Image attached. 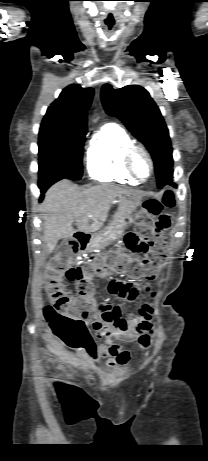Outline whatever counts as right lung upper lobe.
Returning a JSON list of instances; mask_svg holds the SVG:
<instances>
[{
	"instance_id": "obj_1",
	"label": "right lung upper lobe",
	"mask_w": 208,
	"mask_h": 461,
	"mask_svg": "<svg viewBox=\"0 0 208 461\" xmlns=\"http://www.w3.org/2000/svg\"><path fill=\"white\" fill-rule=\"evenodd\" d=\"M92 88L72 84L63 89L59 98L47 109L42 123L55 125L72 132L87 133V114Z\"/></svg>"
}]
</instances>
